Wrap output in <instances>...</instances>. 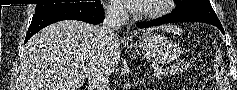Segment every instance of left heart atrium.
I'll list each match as a JSON object with an SVG mask.
<instances>
[{
    "instance_id": "left-heart-atrium-1",
    "label": "left heart atrium",
    "mask_w": 237,
    "mask_h": 90,
    "mask_svg": "<svg viewBox=\"0 0 237 90\" xmlns=\"http://www.w3.org/2000/svg\"><path fill=\"white\" fill-rule=\"evenodd\" d=\"M119 7H124L125 10H134L137 3H151V0H115Z\"/></svg>"
}]
</instances>
